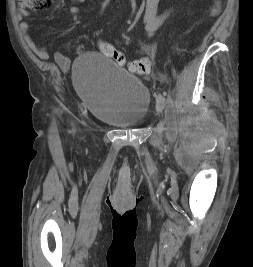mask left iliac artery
<instances>
[{
  "instance_id": "left-iliac-artery-1",
  "label": "left iliac artery",
  "mask_w": 253,
  "mask_h": 267,
  "mask_svg": "<svg viewBox=\"0 0 253 267\" xmlns=\"http://www.w3.org/2000/svg\"><path fill=\"white\" fill-rule=\"evenodd\" d=\"M156 101H157V103L164 104L165 103V98L162 95L159 94V95L156 96Z\"/></svg>"
}]
</instances>
